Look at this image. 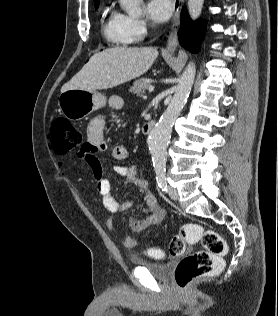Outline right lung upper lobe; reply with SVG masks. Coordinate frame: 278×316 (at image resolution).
I'll return each mask as SVG.
<instances>
[{
    "label": "right lung upper lobe",
    "mask_w": 278,
    "mask_h": 316,
    "mask_svg": "<svg viewBox=\"0 0 278 316\" xmlns=\"http://www.w3.org/2000/svg\"><path fill=\"white\" fill-rule=\"evenodd\" d=\"M99 0H94V3L98 2Z\"/></svg>",
    "instance_id": "right-lung-upper-lobe-1"
}]
</instances>
